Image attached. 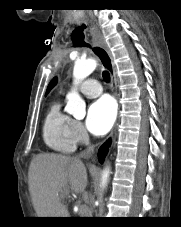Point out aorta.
Returning a JSON list of instances; mask_svg holds the SVG:
<instances>
[{
    "mask_svg": "<svg viewBox=\"0 0 181 227\" xmlns=\"http://www.w3.org/2000/svg\"><path fill=\"white\" fill-rule=\"evenodd\" d=\"M97 62L94 59L77 60L73 69V77L76 83L88 77L96 68ZM66 111L75 118H83L86 114L85 101L76 91L67 95ZM110 175V168L106 167L102 172L101 187L105 188Z\"/></svg>",
    "mask_w": 181,
    "mask_h": 227,
    "instance_id": "aorta-1",
    "label": "aorta"
}]
</instances>
